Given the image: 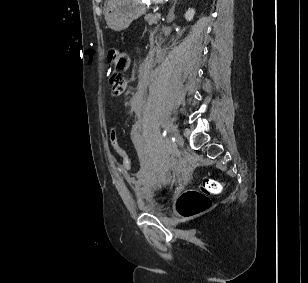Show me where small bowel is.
<instances>
[{
    "mask_svg": "<svg viewBox=\"0 0 308 283\" xmlns=\"http://www.w3.org/2000/svg\"><path fill=\"white\" fill-rule=\"evenodd\" d=\"M125 89V85L121 87L111 85V93L114 96L120 95ZM145 104L144 93L138 91L135 93L130 101V112L135 115H141Z\"/></svg>",
    "mask_w": 308,
    "mask_h": 283,
    "instance_id": "c3829d8e",
    "label": "small bowel"
}]
</instances>
